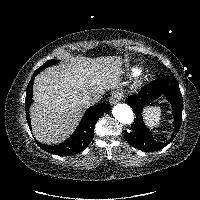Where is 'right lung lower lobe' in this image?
Returning a JSON list of instances; mask_svg holds the SVG:
<instances>
[{
	"mask_svg": "<svg viewBox=\"0 0 200 200\" xmlns=\"http://www.w3.org/2000/svg\"><path fill=\"white\" fill-rule=\"evenodd\" d=\"M35 76L36 75H33L31 81L28 84L26 91V99H25L26 118L30 129H31V122L28 111L30 105L33 102L32 88ZM109 109L110 106L108 104H100L89 108V110L84 115L80 125L73 133V135L59 145L51 146V145L41 144L39 142H37V144L44 151L49 152L51 154H56L61 156H70L73 154H77L88 146V144L92 139L94 133V127L97 120L102 116L104 112L108 111Z\"/></svg>",
	"mask_w": 200,
	"mask_h": 200,
	"instance_id": "98d812e1",
	"label": "right lung lower lobe"
}]
</instances>
